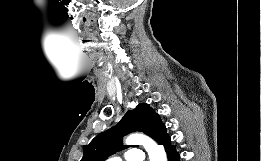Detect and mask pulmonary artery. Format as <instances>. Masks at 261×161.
Returning a JSON list of instances; mask_svg holds the SVG:
<instances>
[{
  "instance_id": "obj_1",
  "label": "pulmonary artery",
  "mask_w": 261,
  "mask_h": 161,
  "mask_svg": "<svg viewBox=\"0 0 261 161\" xmlns=\"http://www.w3.org/2000/svg\"><path fill=\"white\" fill-rule=\"evenodd\" d=\"M142 161L143 157L140 153H138L137 155H135L134 157H120V156H112L110 158H108L106 161Z\"/></svg>"
}]
</instances>
